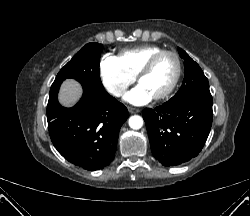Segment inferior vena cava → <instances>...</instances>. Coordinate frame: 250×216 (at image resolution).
I'll list each match as a JSON object with an SVG mask.
<instances>
[{
	"mask_svg": "<svg viewBox=\"0 0 250 216\" xmlns=\"http://www.w3.org/2000/svg\"><path fill=\"white\" fill-rule=\"evenodd\" d=\"M124 89H122V88H113L112 90H111V93L113 94V95H115V96H120V95H122L123 93H124Z\"/></svg>",
	"mask_w": 250,
	"mask_h": 216,
	"instance_id": "obj_1",
	"label": "inferior vena cava"
}]
</instances>
